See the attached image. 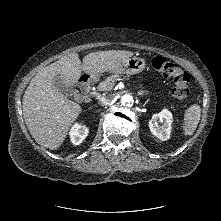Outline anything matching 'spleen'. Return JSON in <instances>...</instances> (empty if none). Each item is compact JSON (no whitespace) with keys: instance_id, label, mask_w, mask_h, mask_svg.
I'll use <instances>...</instances> for the list:
<instances>
[{"instance_id":"obj_1","label":"spleen","mask_w":221,"mask_h":221,"mask_svg":"<svg viewBox=\"0 0 221 221\" xmlns=\"http://www.w3.org/2000/svg\"><path fill=\"white\" fill-rule=\"evenodd\" d=\"M201 108L198 104L191 105L184 113L183 133L185 136L193 135L200 120Z\"/></svg>"}]
</instances>
